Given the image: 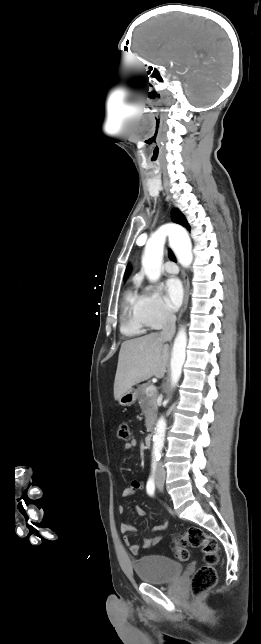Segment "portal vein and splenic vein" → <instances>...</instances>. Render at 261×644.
I'll use <instances>...</instances> for the list:
<instances>
[{"instance_id": "obj_1", "label": "portal vein and splenic vein", "mask_w": 261, "mask_h": 644, "mask_svg": "<svg viewBox=\"0 0 261 644\" xmlns=\"http://www.w3.org/2000/svg\"><path fill=\"white\" fill-rule=\"evenodd\" d=\"M154 391H156V387L154 385H150L149 387L146 388L147 394H152Z\"/></svg>"}]
</instances>
